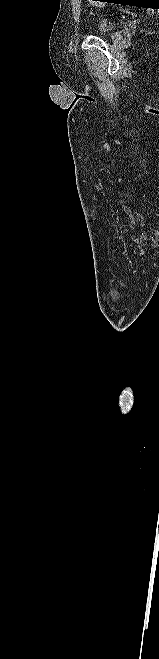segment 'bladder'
<instances>
[{
    "mask_svg": "<svg viewBox=\"0 0 159 659\" xmlns=\"http://www.w3.org/2000/svg\"><path fill=\"white\" fill-rule=\"evenodd\" d=\"M97 28H98V35L101 37L108 36L113 32L112 28H107L103 24H99Z\"/></svg>",
    "mask_w": 159,
    "mask_h": 659,
    "instance_id": "31cf9c89",
    "label": "bladder"
}]
</instances>
